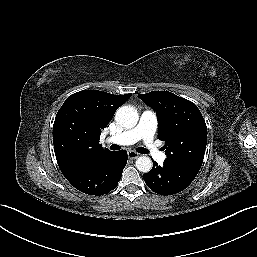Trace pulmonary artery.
<instances>
[{"label":"pulmonary artery","instance_id":"pulmonary-artery-1","mask_svg":"<svg viewBox=\"0 0 257 257\" xmlns=\"http://www.w3.org/2000/svg\"><path fill=\"white\" fill-rule=\"evenodd\" d=\"M157 115L151 110L142 112L138 124L127 131L107 138V142L118 145H132L142 140L150 156L157 162L162 163L166 155L158 150L154 143V136L157 129Z\"/></svg>","mask_w":257,"mask_h":257}]
</instances>
